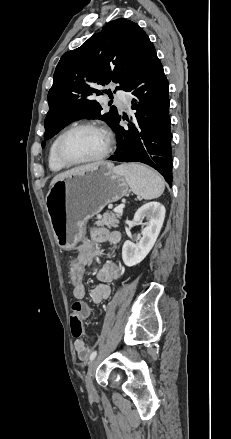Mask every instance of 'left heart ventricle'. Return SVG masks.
I'll return each mask as SVG.
<instances>
[{
  "instance_id": "obj_1",
  "label": "left heart ventricle",
  "mask_w": 231,
  "mask_h": 439,
  "mask_svg": "<svg viewBox=\"0 0 231 439\" xmlns=\"http://www.w3.org/2000/svg\"><path fill=\"white\" fill-rule=\"evenodd\" d=\"M105 135L95 129H79L64 141V152L73 160H84L99 155L105 148Z\"/></svg>"
}]
</instances>
